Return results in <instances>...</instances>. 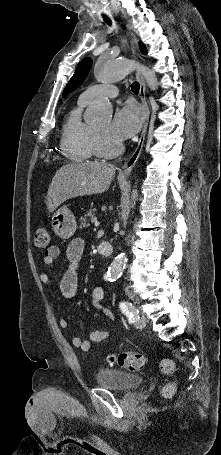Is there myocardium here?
<instances>
[{"instance_id": "myocardium-1", "label": "myocardium", "mask_w": 221, "mask_h": 455, "mask_svg": "<svg viewBox=\"0 0 221 455\" xmlns=\"http://www.w3.org/2000/svg\"><path fill=\"white\" fill-rule=\"evenodd\" d=\"M92 146L94 153L100 157L116 156L123 149V145L119 141L112 145H107L94 127H92Z\"/></svg>"}]
</instances>
